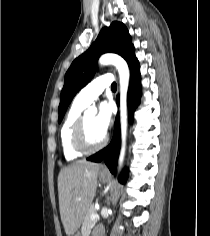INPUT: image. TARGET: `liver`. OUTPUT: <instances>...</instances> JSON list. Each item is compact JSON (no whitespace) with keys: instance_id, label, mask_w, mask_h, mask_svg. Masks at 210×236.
Masks as SVG:
<instances>
[{"instance_id":"liver-1","label":"liver","mask_w":210,"mask_h":236,"mask_svg":"<svg viewBox=\"0 0 210 236\" xmlns=\"http://www.w3.org/2000/svg\"><path fill=\"white\" fill-rule=\"evenodd\" d=\"M100 165L85 160L61 169L58 195L61 221L67 236H73L96 194Z\"/></svg>"}]
</instances>
